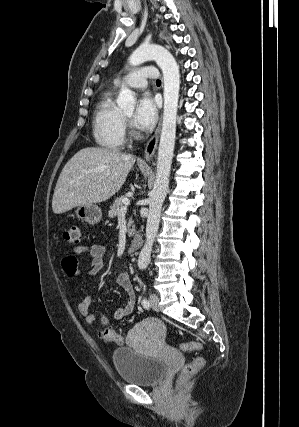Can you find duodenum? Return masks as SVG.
<instances>
[{
	"mask_svg": "<svg viewBox=\"0 0 299 427\" xmlns=\"http://www.w3.org/2000/svg\"><path fill=\"white\" fill-rule=\"evenodd\" d=\"M141 242H142V239L140 234L136 233L131 241V244L128 249V253L130 254L135 253L139 249Z\"/></svg>",
	"mask_w": 299,
	"mask_h": 427,
	"instance_id": "1",
	"label": "duodenum"
}]
</instances>
